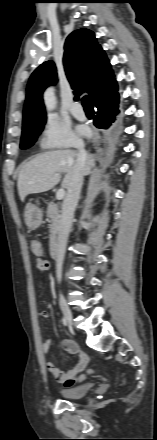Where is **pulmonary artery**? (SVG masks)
I'll use <instances>...</instances> for the list:
<instances>
[{
    "mask_svg": "<svg viewBox=\"0 0 157 440\" xmlns=\"http://www.w3.org/2000/svg\"><path fill=\"white\" fill-rule=\"evenodd\" d=\"M70 112L79 119H84L83 107L79 102H73L69 107Z\"/></svg>",
    "mask_w": 157,
    "mask_h": 440,
    "instance_id": "1",
    "label": "pulmonary artery"
}]
</instances>
